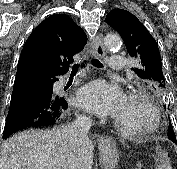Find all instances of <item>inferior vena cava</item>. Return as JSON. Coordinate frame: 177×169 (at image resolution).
<instances>
[{
  "instance_id": "obj_1",
  "label": "inferior vena cava",
  "mask_w": 177,
  "mask_h": 169,
  "mask_svg": "<svg viewBox=\"0 0 177 169\" xmlns=\"http://www.w3.org/2000/svg\"><path fill=\"white\" fill-rule=\"evenodd\" d=\"M91 125L90 118L78 116L74 123L64 126L61 133L68 146L77 143L80 139L87 138Z\"/></svg>"
}]
</instances>
